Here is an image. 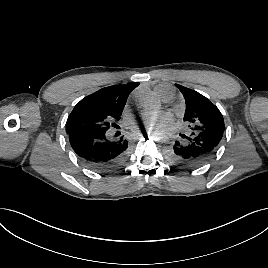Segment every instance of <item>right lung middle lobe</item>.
<instances>
[{"mask_svg": "<svg viewBox=\"0 0 268 268\" xmlns=\"http://www.w3.org/2000/svg\"><path fill=\"white\" fill-rule=\"evenodd\" d=\"M123 110L105 108L97 104H77L66 123V133L105 132L113 120H120Z\"/></svg>", "mask_w": 268, "mask_h": 268, "instance_id": "1", "label": "right lung middle lobe"}]
</instances>
